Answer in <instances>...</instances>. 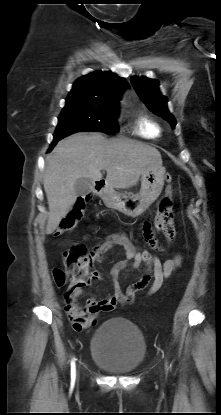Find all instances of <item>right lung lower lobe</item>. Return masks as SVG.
Segmentation results:
<instances>
[{"mask_svg": "<svg viewBox=\"0 0 221 415\" xmlns=\"http://www.w3.org/2000/svg\"><path fill=\"white\" fill-rule=\"evenodd\" d=\"M60 139H54L52 144L50 145L49 151L56 145V143L59 141Z\"/></svg>", "mask_w": 221, "mask_h": 415, "instance_id": "right-lung-lower-lobe-1", "label": "right lung lower lobe"}]
</instances>
